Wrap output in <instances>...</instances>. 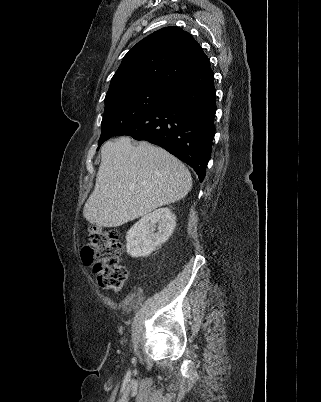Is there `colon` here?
Returning a JSON list of instances; mask_svg holds the SVG:
<instances>
[{"label": "colon", "instance_id": "obj_1", "mask_svg": "<svg viewBox=\"0 0 321 402\" xmlns=\"http://www.w3.org/2000/svg\"><path fill=\"white\" fill-rule=\"evenodd\" d=\"M123 244L118 233L92 225L88 230V243L82 248L81 258L93 265L99 285L106 290H120L127 278V268L119 261Z\"/></svg>", "mask_w": 321, "mask_h": 402}]
</instances>
